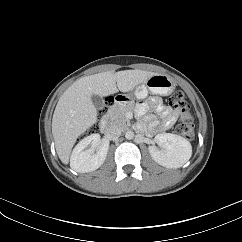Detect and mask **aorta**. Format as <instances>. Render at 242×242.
Instances as JSON below:
<instances>
[{"label": "aorta", "instance_id": "obj_1", "mask_svg": "<svg viewBox=\"0 0 242 242\" xmlns=\"http://www.w3.org/2000/svg\"><path fill=\"white\" fill-rule=\"evenodd\" d=\"M125 138L128 139V140H131L134 138V132L131 131V130H128L125 132Z\"/></svg>", "mask_w": 242, "mask_h": 242}]
</instances>
